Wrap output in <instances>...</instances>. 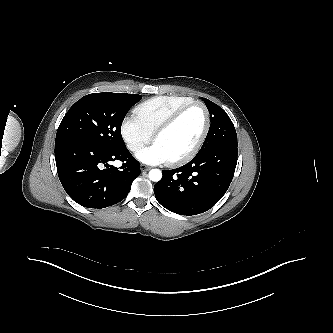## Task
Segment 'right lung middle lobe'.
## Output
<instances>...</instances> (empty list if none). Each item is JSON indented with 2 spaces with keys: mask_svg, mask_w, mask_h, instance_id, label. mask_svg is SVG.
<instances>
[{
  "mask_svg": "<svg viewBox=\"0 0 333 333\" xmlns=\"http://www.w3.org/2000/svg\"><path fill=\"white\" fill-rule=\"evenodd\" d=\"M141 96L127 93H93L78 100L65 114L56 140H72L106 150L125 147L121 125Z\"/></svg>",
  "mask_w": 333,
  "mask_h": 333,
  "instance_id": "obj_1",
  "label": "right lung middle lobe"
}]
</instances>
